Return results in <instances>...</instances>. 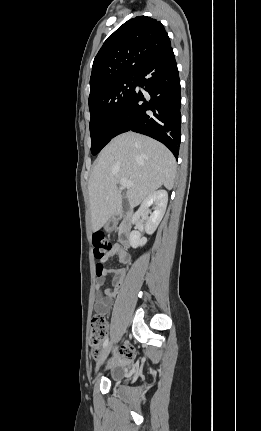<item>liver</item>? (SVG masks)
<instances>
[{
  "label": "liver",
  "mask_w": 261,
  "mask_h": 431,
  "mask_svg": "<svg viewBox=\"0 0 261 431\" xmlns=\"http://www.w3.org/2000/svg\"><path fill=\"white\" fill-rule=\"evenodd\" d=\"M175 177V158L160 142L134 132L112 139L98 156L88 183L93 232L100 230L121 207L117 186L121 179L133 183L126 196L135 207L161 186L171 190Z\"/></svg>",
  "instance_id": "liver-1"
}]
</instances>
